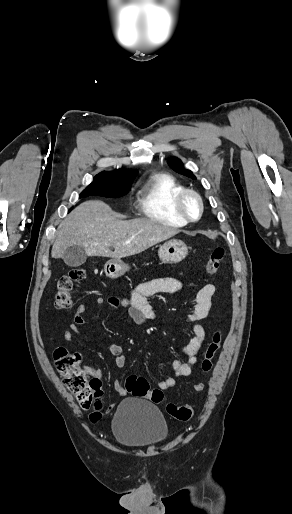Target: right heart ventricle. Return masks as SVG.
Wrapping results in <instances>:
<instances>
[{
    "instance_id": "obj_1",
    "label": "right heart ventricle",
    "mask_w": 292,
    "mask_h": 514,
    "mask_svg": "<svg viewBox=\"0 0 292 514\" xmlns=\"http://www.w3.org/2000/svg\"><path fill=\"white\" fill-rule=\"evenodd\" d=\"M182 184L167 173H154L141 185L135 200L139 212L164 225L181 228L187 222L173 211L172 197Z\"/></svg>"
}]
</instances>
